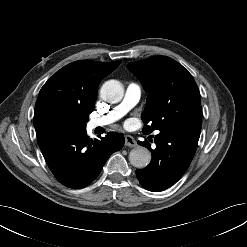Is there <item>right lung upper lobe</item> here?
I'll list each match as a JSON object with an SVG mask.
<instances>
[{
  "label": "right lung upper lobe",
  "mask_w": 247,
  "mask_h": 247,
  "mask_svg": "<svg viewBox=\"0 0 247 247\" xmlns=\"http://www.w3.org/2000/svg\"><path fill=\"white\" fill-rule=\"evenodd\" d=\"M120 63V60H80L56 72L41 88L36 101L33 119L36 134L41 132V120L50 110L63 109L89 115L94 110L100 81Z\"/></svg>",
  "instance_id": "obj_1"
}]
</instances>
